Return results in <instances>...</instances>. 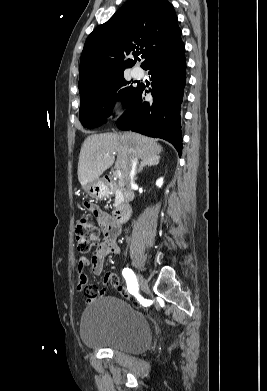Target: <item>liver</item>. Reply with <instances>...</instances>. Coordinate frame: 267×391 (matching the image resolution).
Returning a JSON list of instances; mask_svg holds the SVG:
<instances>
[{"label":"liver","mask_w":267,"mask_h":391,"mask_svg":"<svg viewBox=\"0 0 267 391\" xmlns=\"http://www.w3.org/2000/svg\"><path fill=\"white\" fill-rule=\"evenodd\" d=\"M162 150L156 140L134 132L90 135L80 150L78 180L83 187L98 180L113 165L115 154V168L121 170L122 176L126 178L131 156L153 160L159 158Z\"/></svg>","instance_id":"obj_1"}]
</instances>
